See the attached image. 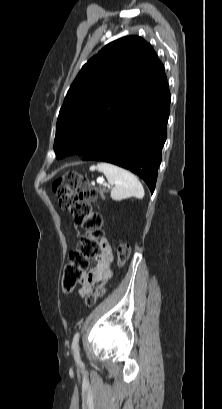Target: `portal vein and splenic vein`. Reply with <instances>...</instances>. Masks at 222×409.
Returning <instances> with one entry per match:
<instances>
[{
  "instance_id": "portal-vein-and-splenic-vein-1",
  "label": "portal vein and splenic vein",
  "mask_w": 222,
  "mask_h": 409,
  "mask_svg": "<svg viewBox=\"0 0 222 409\" xmlns=\"http://www.w3.org/2000/svg\"><path fill=\"white\" fill-rule=\"evenodd\" d=\"M97 183L103 184V185L105 184L104 179L102 178L97 179Z\"/></svg>"
}]
</instances>
